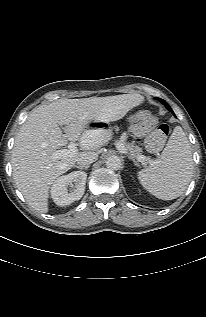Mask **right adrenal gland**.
Instances as JSON below:
<instances>
[{"mask_svg": "<svg viewBox=\"0 0 206 317\" xmlns=\"http://www.w3.org/2000/svg\"><path fill=\"white\" fill-rule=\"evenodd\" d=\"M75 167L78 168V169H85V170H87L90 166L87 165V166H85V167H80V166H75Z\"/></svg>", "mask_w": 206, "mask_h": 317, "instance_id": "obj_1", "label": "right adrenal gland"}]
</instances>
